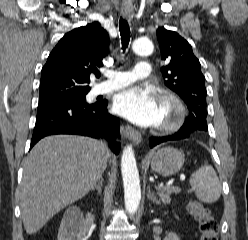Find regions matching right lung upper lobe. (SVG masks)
I'll return each instance as SVG.
<instances>
[{
    "instance_id": "cb5924a9",
    "label": "right lung upper lobe",
    "mask_w": 248,
    "mask_h": 240,
    "mask_svg": "<svg viewBox=\"0 0 248 240\" xmlns=\"http://www.w3.org/2000/svg\"><path fill=\"white\" fill-rule=\"evenodd\" d=\"M108 48L109 36L99 22L65 34L42 68L39 101L89 92L90 75L103 66Z\"/></svg>"
}]
</instances>
